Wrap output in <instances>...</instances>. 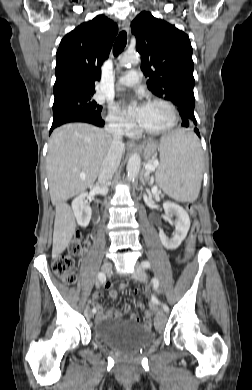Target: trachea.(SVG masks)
Masks as SVG:
<instances>
[{"mask_svg": "<svg viewBox=\"0 0 252 390\" xmlns=\"http://www.w3.org/2000/svg\"><path fill=\"white\" fill-rule=\"evenodd\" d=\"M126 43H127V33L125 31H121L113 46L114 56H117L124 50Z\"/></svg>", "mask_w": 252, "mask_h": 390, "instance_id": "3493384b", "label": "trachea"}]
</instances>
